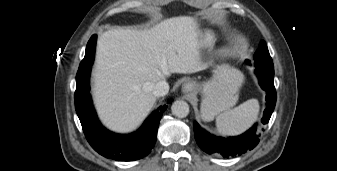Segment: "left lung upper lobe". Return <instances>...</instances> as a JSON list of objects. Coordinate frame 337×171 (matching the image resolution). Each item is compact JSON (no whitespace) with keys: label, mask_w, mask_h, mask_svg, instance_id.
Listing matches in <instances>:
<instances>
[{"label":"left lung upper lobe","mask_w":337,"mask_h":171,"mask_svg":"<svg viewBox=\"0 0 337 171\" xmlns=\"http://www.w3.org/2000/svg\"><path fill=\"white\" fill-rule=\"evenodd\" d=\"M247 63H250V61L247 60ZM254 63L257 67L274 70L273 62L264 40L260 42L259 48L254 54Z\"/></svg>","instance_id":"1"}]
</instances>
